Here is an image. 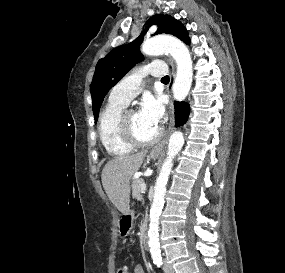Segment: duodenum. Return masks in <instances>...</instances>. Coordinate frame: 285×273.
<instances>
[{
  "label": "duodenum",
  "mask_w": 285,
  "mask_h": 273,
  "mask_svg": "<svg viewBox=\"0 0 285 273\" xmlns=\"http://www.w3.org/2000/svg\"><path fill=\"white\" fill-rule=\"evenodd\" d=\"M148 241H149L148 235L145 234L143 236V246H144L145 249H148Z\"/></svg>",
  "instance_id": "410a0bca"
}]
</instances>
